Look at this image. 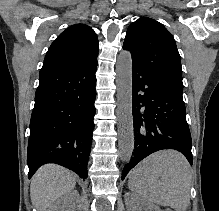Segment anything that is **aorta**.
Here are the masks:
<instances>
[{
  "label": "aorta",
  "mask_w": 219,
  "mask_h": 211,
  "mask_svg": "<svg viewBox=\"0 0 219 211\" xmlns=\"http://www.w3.org/2000/svg\"><path fill=\"white\" fill-rule=\"evenodd\" d=\"M118 145L124 163L131 160L134 150L132 114V56L122 51L116 62Z\"/></svg>",
  "instance_id": "obj_1"
}]
</instances>
